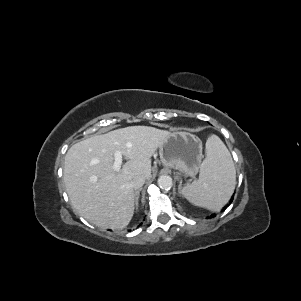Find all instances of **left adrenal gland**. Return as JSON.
<instances>
[{"label":"left adrenal gland","mask_w":301,"mask_h":301,"mask_svg":"<svg viewBox=\"0 0 301 301\" xmlns=\"http://www.w3.org/2000/svg\"><path fill=\"white\" fill-rule=\"evenodd\" d=\"M181 185H182V180H180V184L178 186L179 194H181Z\"/></svg>","instance_id":"obj_1"}]
</instances>
